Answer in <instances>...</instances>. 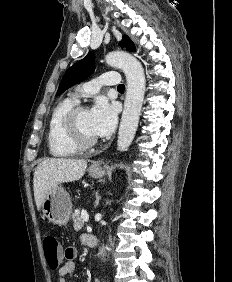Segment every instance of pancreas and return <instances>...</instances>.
Masks as SVG:
<instances>
[{"label":"pancreas","mask_w":232,"mask_h":282,"mask_svg":"<svg viewBox=\"0 0 232 282\" xmlns=\"http://www.w3.org/2000/svg\"><path fill=\"white\" fill-rule=\"evenodd\" d=\"M72 219H73V226L75 230H80L83 225H84V220L82 218V216L80 215V213H73L72 214Z\"/></svg>","instance_id":"cf45deb5"}]
</instances>
